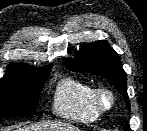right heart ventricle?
Returning a JSON list of instances; mask_svg holds the SVG:
<instances>
[{"label":"right heart ventricle","mask_w":147,"mask_h":131,"mask_svg":"<svg viewBox=\"0 0 147 131\" xmlns=\"http://www.w3.org/2000/svg\"><path fill=\"white\" fill-rule=\"evenodd\" d=\"M95 87L82 79L66 77L56 85L53 100V113L61 118L88 124L95 122L99 113L93 103Z\"/></svg>","instance_id":"right-heart-ventricle-1"}]
</instances>
